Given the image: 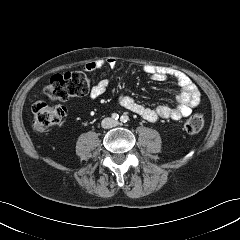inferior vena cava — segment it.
Listing matches in <instances>:
<instances>
[{
  "label": "inferior vena cava",
  "mask_w": 240,
  "mask_h": 240,
  "mask_svg": "<svg viewBox=\"0 0 240 240\" xmlns=\"http://www.w3.org/2000/svg\"><path fill=\"white\" fill-rule=\"evenodd\" d=\"M115 123L116 122L112 118L107 117L102 120L101 125L103 128L107 129V128H112L113 126H115Z\"/></svg>",
  "instance_id": "602c4592"
}]
</instances>
